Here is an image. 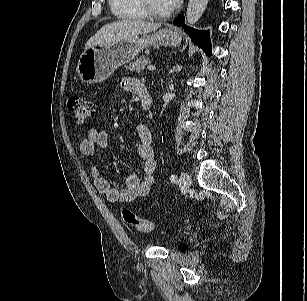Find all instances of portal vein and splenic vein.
Wrapping results in <instances>:
<instances>
[{"instance_id": "obj_1", "label": "portal vein and splenic vein", "mask_w": 307, "mask_h": 301, "mask_svg": "<svg viewBox=\"0 0 307 301\" xmlns=\"http://www.w3.org/2000/svg\"><path fill=\"white\" fill-rule=\"evenodd\" d=\"M147 69L150 70V71H154L156 69V67L153 66V65H149V66H147Z\"/></svg>"}]
</instances>
